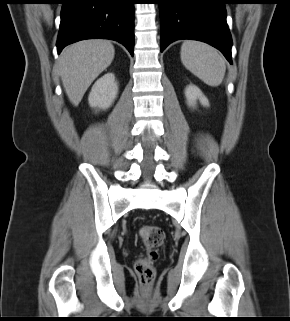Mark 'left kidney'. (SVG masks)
Segmentation results:
<instances>
[{"mask_svg":"<svg viewBox=\"0 0 290 321\" xmlns=\"http://www.w3.org/2000/svg\"><path fill=\"white\" fill-rule=\"evenodd\" d=\"M185 97L187 101V105L189 107H195L197 101L201 103V105L208 107L209 101L207 97L202 93V91L195 85L190 84L185 89Z\"/></svg>","mask_w":290,"mask_h":321,"instance_id":"5707ae66","label":"left kidney"}]
</instances>
